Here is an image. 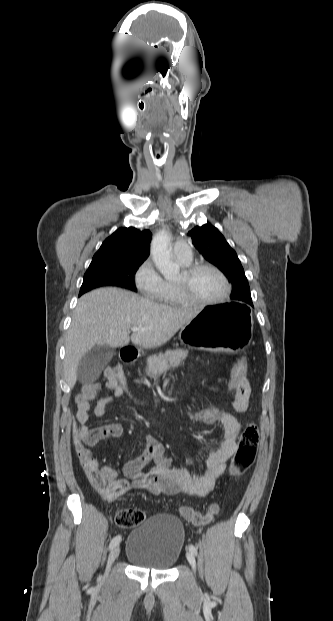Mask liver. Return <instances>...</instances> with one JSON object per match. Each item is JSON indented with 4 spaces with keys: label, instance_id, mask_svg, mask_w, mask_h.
<instances>
[{
    "label": "liver",
    "instance_id": "liver-1",
    "mask_svg": "<svg viewBox=\"0 0 333 621\" xmlns=\"http://www.w3.org/2000/svg\"><path fill=\"white\" fill-rule=\"evenodd\" d=\"M197 314L118 288H100L83 295L74 310L65 343L64 377L68 387H74L80 360L96 345L114 348L131 340L145 349L156 348L168 342ZM133 326L147 330L129 336Z\"/></svg>",
    "mask_w": 333,
    "mask_h": 621
}]
</instances>
